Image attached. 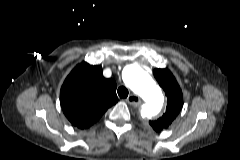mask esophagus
<instances>
[{
	"instance_id": "1",
	"label": "esophagus",
	"mask_w": 240,
	"mask_h": 160,
	"mask_svg": "<svg viewBox=\"0 0 240 160\" xmlns=\"http://www.w3.org/2000/svg\"><path fill=\"white\" fill-rule=\"evenodd\" d=\"M126 102L132 106H138L141 103V100L139 98V96L135 95V94H131L127 99Z\"/></svg>"
}]
</instances>
